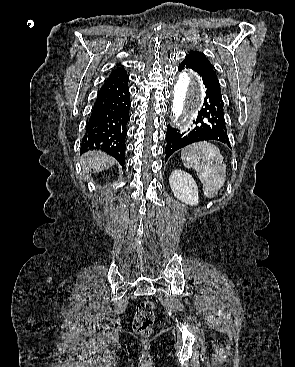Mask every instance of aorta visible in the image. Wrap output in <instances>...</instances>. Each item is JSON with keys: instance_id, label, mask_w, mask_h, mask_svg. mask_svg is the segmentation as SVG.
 <instances>
[{"instance_id": "762f6f07", "label": "aorta", "mask_w": 295, "mask_h": 367, "mask_svg": "<svg viewBox=\"0 0 295 367\" xmlns=\"http://www.w3.org/2000/svg\"><path fill=\"white\" fill-rule=\"evenodd\" d=\"M203 93L199 79L183 71L174 85L172 113L175 120L192 113L201 103Z\"/></svg>"}]
</instances>
